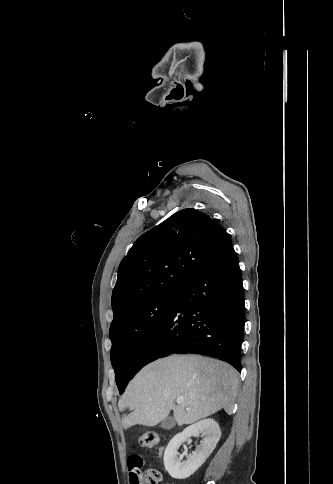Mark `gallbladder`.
<instances>
[{
    "instance_id": "bac80fb5",
    "label": "gallbladder",
    "mask_w": 333,
    "mask_h": 484,
    "mask_svg": "<svg viewBox=\"0 0 333 484\" xmlns=\"http://www.w3.org/2000/svg\"><path fill=\"white\" fill-rule=\"evenodd\" d=\"M175 420L172 416H167L160 424L161 428L170 430L175 426Z\"/></svg>"
}]
</instances>
